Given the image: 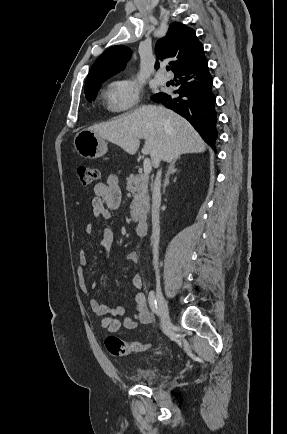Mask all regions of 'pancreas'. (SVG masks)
<instances>
[{
	"label": "pancreas",
	"instance_id": "cf45deb5",
	"mask_svg": "<svg viewBox=\"0 0 287 434\" xmlns=\"http://www.w3.org/2000/svg\"><path fill=\"white\" fill-rule=\"evenodd\" d=\"M127 191L133 195L130 214L133 221L145 218L150 209L148 194V178L144 174L130 175L127 178Z\"/></svg>",
	"mask_w": 287,
	"mask_h": 434
}]
</instances>
